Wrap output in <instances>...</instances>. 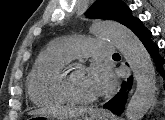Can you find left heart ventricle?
<instances>
[{
    "mask_svg": "<svg viewBox=\"0 0 165 120\" xmlns=\"http://www.w3.org/2000/svg\"><path fill=\"white\" fill-rule=\"evenodd\" d=\"M70 87L74 94L83 98L98 97L86 69H76L70 74Z\"/></svg>",
    "mask_w": 165,
    "mask_h": 120,
    "instance_id": "1",
    "label": "left heart ventricle"
}]
</instances>
